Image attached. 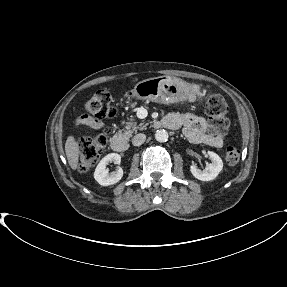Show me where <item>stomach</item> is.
<instances>
[{
    "label": "stomach",
    "mask_w": 287,
    "mask_h": 287,
    "mask_svg": "<svg viewBox=\"0 0 287 287\" xmlns=\"http://www.w3.org/2000/svg\"><path fill=\"white\" fill-rule=\"evenodd\" d=\"M127 99L150 100L173 104L189 100L195 92L183 81L170 76L149 78L138 82L134 89L126 92Z\"/></svg>",
    "instance_id": "1"
}]
</instances>
